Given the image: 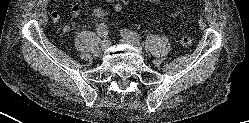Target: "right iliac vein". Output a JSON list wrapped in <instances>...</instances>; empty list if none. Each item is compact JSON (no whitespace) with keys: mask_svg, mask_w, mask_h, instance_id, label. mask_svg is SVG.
<instances>
[{"mask_svg":"<svg viewBox=\"0 0 249 123\" xmlns=\"http://www.w3.org/2000/svg\"><path fill=\"white\" fill-rule=\"evenodd\" d=\"M109 46H110V41L109 40H107V39H105V40H103L102 42H101V47H102V49H107V48H109Z\"/></svg>","mask_w":249,"mask_h":123,"instance_id":"63e3f726","label":"right iliac vein"}]
</instances>
